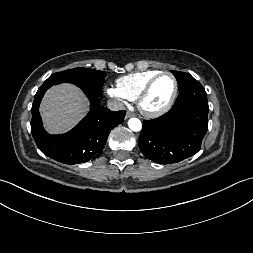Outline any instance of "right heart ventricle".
<instances>
[{"label": "right heart ventricle", "mask_w": 253, "mask_h": 253, "mask_svg": "<svg viewBox=\"0 0 253 253\" xmlns=\"http://www.w3.org/2000/svg\"><path fill=\"white\" fill-rule=\"evenodd\" d=\"M158 73V70H149L124 75L116 80V87L126 99L135 101L146 83Z\"/></svg>", "instance_id": "e07e8e85"}]
</instances>
